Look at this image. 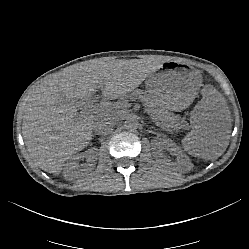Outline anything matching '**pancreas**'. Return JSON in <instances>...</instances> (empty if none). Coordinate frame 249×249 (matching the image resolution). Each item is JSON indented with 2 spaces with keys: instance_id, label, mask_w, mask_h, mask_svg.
I'll list each match as a JSON object with an SVG mask.
<instances>
[{
  "instance_id": "1",
  "label": "pancreas",
  "mask_w": 249,
  "mask_h": 249,
  "mask_svg": "<svg viewBox=\"0 0 249 249\" xmlns=\"http://www.w3.org/2000/svg\"><path fill=\"white\" fill-rule=\"evenodd\" d=\"M137 94V98L143 102L145 111L153 112L151 117H157L159 119L161 115L164 113V109L153 99L150 98L145 92L143 91H135Z\"/></svg>"
}]
</instances>
